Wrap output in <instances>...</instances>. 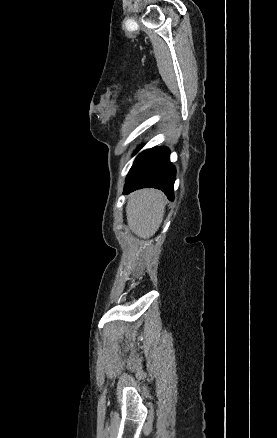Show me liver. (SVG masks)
Returning <instances> with one entry per match:
<instances>
[{"label": "liver", "instance_id": "1", "mask_svg": "<svg viewBox=\"0 0 277 438\" xmlns=\"http://www.w3.org/2000/svg\"><path fill=\"white\" fill-rule=\"evenodd\" d=\"M165 212V196L159 190H138L126 206L128 226L138 238L149 240L159 230Z\"/></svg>", "mask_w": 277, "mask_h": 438}]
</instances>
